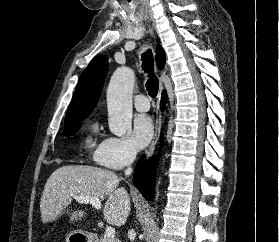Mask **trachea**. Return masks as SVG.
I'll use <instances>...</instances> for the list:
<instances>
[{"instance_id": "3493384b", "label": "trachea", "mask_w": 279, "mask_h": 242, "mask_svg": "<svg viewBox=\"0 0 279 242\" xmlns=\"http://www.w3.org/2000/svg\"><path fill=\"white\" fill-rule=\"evenodd\" d=\"M142 68L143 70L148 73V80L146 82V89L148 94L154 98L158 93L159 82L154 74V60L151 50H147L142 54Z\"/></svg>"}]
</instances>
